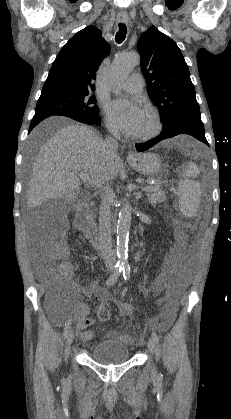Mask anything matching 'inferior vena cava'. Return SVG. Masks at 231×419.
Listing matches in <instances>:
<instances>
[{
	"label": "inferior vena cava",
	"mask_w": 231,
	"mask_h": 419,
	"mask_svg": "<svg viewBox=\"0 0 231 419\" xmlns=\"http://www.w3.org/2000/svg\"><path fill=\"white\" fill-rule=\"evenodd\" d=\"M107 129L109 130L110 135L105 139V148L107 154L113 156L118 149L117 140L120 138V133L119 130L112 125H107ZM110 194L111 190L109 182H107L103 187L102 201L99 210L98 243L104 263L113 266L116 260L112 247Z\"/></svg>",
	"instance_id": "602c4592"
}]
</instances>
